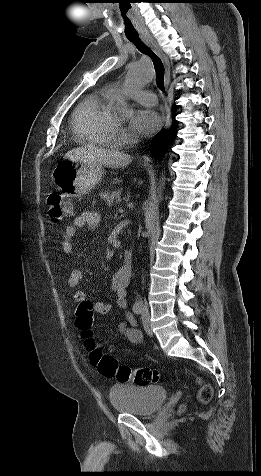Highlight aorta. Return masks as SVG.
I'll return each instance as SVG.
<instances>
[{"label":"aorta","instance_id":"1","mask_svg":"<svg viewBox=\"0 0 261 476\" xmlns=\"http://www.w3.org/2000/svg\"><path fill=\"white\" fill-rule=\"evenodd\" d=\"M152 79V72L148 68H143L141 66H132L127 75V85L128 87H134L141 85L143 83L149 82ZM115 112L119 118H127L132 114V108L125 101L123 96H120L115 104ZM165 183V177H162L160 180V187L158 188V197L155 200L157 203L162 199V189ZM140 303V301H136Z\"/></svg>","mask_w":261,"mask_h":476}]
</instances>
